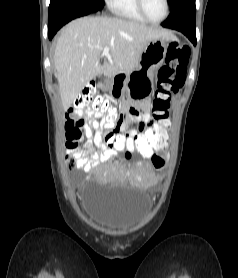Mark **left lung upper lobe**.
Instances as JSON below:
<instances>
[{
    "mask_svg": "<svg viewBox=\"0 0 238 278\" xmlns=\"http://www.w3.org/2000/svg\"><path fill=\"white\" fill-rule=\"evenodd\" d=\"M181 1H182V0H169L171 10H173L174 7H175L179 2H181Z\"/></svg>",
    "mask_w": 238,
    "mask_h": 278,
    "instance_id": "5c2ea615",
    "label": "left lung upper lobe"
}]
</instances>
